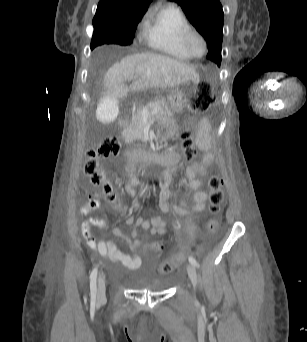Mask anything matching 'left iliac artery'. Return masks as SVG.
<instances>
[{
	"label": "left iliac artery",
	"instance_id": "obj_1",
	"mask_svg": "<svg viewBox=\"0 0 307 342\" xmlns=\"http://www.w3.org/2000/svg\"><path fill=\"white\" fill-rule=\"evenodd\" d=\"M189 262H190L193 266L199 267V264H198V262L196 261V259H195L194 257L189 256Z\"/></svg>",
	"mask_w": 307,
	"mask_h": 342
}]
</instances>
